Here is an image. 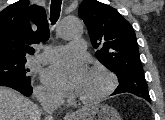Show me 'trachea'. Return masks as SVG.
Instances as JSON below:
<instances>
[{
    "label": "trachea",
    "mask_w": 165,
    "mask_h": 120,
    "mask_svg": "<svg viewBox=\"0 0 165 120\" xmlns=\"http://www.w3.org/2000/svg\"><path fill=\"white\" fill-rule=\"evenodd\" d=\"M62 0H52L50 7V21L54 25L60 16Z\"/></svg>",
    "instance_id": "trachea-1"
}]
</instances>
